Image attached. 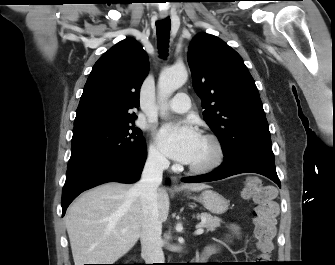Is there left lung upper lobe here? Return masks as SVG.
Segmentation results:
<instances>
[{
    "label": "left lung upper lobe",
    "mask_w": 335,
    "mask_h": 265,
    "mask_svg": "<svg viewBox=\"0 0 335 265\" xmlns=\"http://www.w3.org/2000/svg\"><path fill=\"white\" fill-rule=\"evenodd\" d=\"M188 64L204 120L220 140L224 159L256 154L274 160L258 89L240 55L203 33L190 43Z\"/></svg>",
    "instance_id": "obj_1"
}]
</instances>
